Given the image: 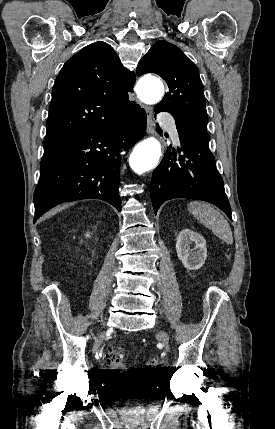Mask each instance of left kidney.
<instances>
[{
    "label": "left kidney",
    "mask_w": 275,
    "mask_h": 429,
    "mask_svg": "<svg viewBox=\"0 0 275 429\" xmlns=\"http://www.w3.org/2000/svg\"><path fill=\"white\" fill-rule=\"evenodd\" d=\"M192 242L195 243L194 249H190ZM176 252L186 269L198 270L207 257L206 240L199 233L184 229L177 236Z\"/></svg>",
    "instance_id": "obj_1"
}]
</instances>
